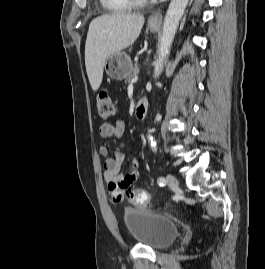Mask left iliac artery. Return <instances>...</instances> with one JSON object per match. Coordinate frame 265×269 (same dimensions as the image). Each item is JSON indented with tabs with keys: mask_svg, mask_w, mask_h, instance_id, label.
<instances>
[{
	"mask_svg": "<svg viewBox=\"0 0 265 269\" xmlns=\"http://www.w3.org/2000/svg\"><path fill=\"white\" fill-rule=\"evenodd\" d=\"M158 184H159L160 186H164V185L166 184V180H165V178H164V177H160V178L158 179Z\"/></svg>",
	"mask_w": 265,
	"mask_h": 269,
	"instance_id": "1",
	"label": "left iliac artery"
}]
</instances>
